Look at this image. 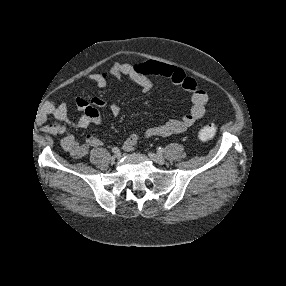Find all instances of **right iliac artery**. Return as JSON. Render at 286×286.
I'll use <instances>...</instances> for the list:
<instances>
[{
  "mask_svg": "<svg viewBox=\"0 0 286 286\" xmlns=\"http://www.w3.org/2000/svg\"><path fill=\"white\" fill-rule=\"evenodd\" d=\"M112 152L118 153V152H119V149L115 147V148L112 149Z\"/></svg>",
  "mask_w": 286,
  "mask_h": 286,
  "instance_id": "right-iliac-artery-1",
  "label": "right iliac artery"
}]
</instances>
